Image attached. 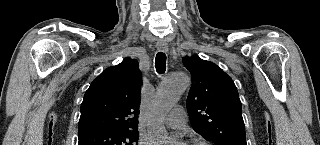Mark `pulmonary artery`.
<instances>
[{"label":"pulmonary artery","instance_id":"e3ab8cb5","mask_svg":"<svg viewBox=\"0 0 320 145\" xmlns=\"http://www.w3.org/2000/svg\"><path fill=\"white\" fill-rule=\"evenodd\" d=\"M165 123L173 129H181L186 124V115L182 107L174 108L166 117Z\"/></svg>","mask_w":320,"mask_h":145}]
</instances>
